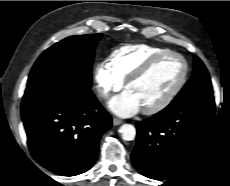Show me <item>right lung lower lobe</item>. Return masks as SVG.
I'll list each match as a JSON object with an SVG mask.
<instances>
[{"instance_id":"obj_1","label":"right lung lower lobe","mask_w":230,"mask_h":186,"mask_svg":"<svg viewBox=\"0 0 230 186\" xmlns=\"http://www.w3.org/2000/svg\"><path fill=\"white\" fill-rule=\"evenodd\" d=\"M21 116L34 159L65 176L93 166L101 135L112 126L91 89L62 79L26 88Z\"/></svg>"}]
</instances>
